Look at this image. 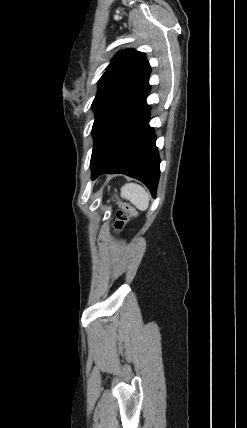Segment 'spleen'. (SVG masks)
I'll return each mask as SVG.
<instances>
[{"label":"spleen","mask_w":247,"mask_h":428,"mask_svg":"<svg viewBox=\"0 0 247 428\" xmlns=\"http://www.w3.org/2000/svg\"><path fill=\"white\" fill-rule=\"evenodd\" d=\"M121 197L129 200L139 210L145 211L149 205V194L135 183H127L121 189Z\"/></svg>","instance_id":"3e777b00"}]
</instances>
